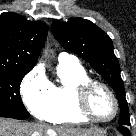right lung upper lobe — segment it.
Returning <instances> with one entry per match:
<instances>
[{
	"label": "right lung upper lobe",
	"instance_id": "1",
	"mask_svg": "<svg viewBox=\"0 0 136 136\" xmlns=\"http://www.w3.org/2000/svg\"><path fill=\"white\" fill-rule=\"evenodd\" d=\"M44 22H31L16 13L0 15V70L30 71L47 37Z\"/></svg>",
	"mask_w": 136,
	"mask_h": 136
}]
</instances>
